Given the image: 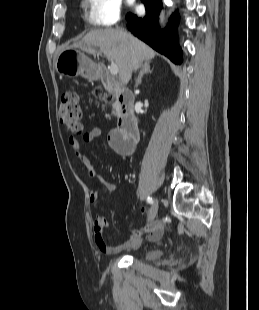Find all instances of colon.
I'll list each match as a JSON object with an SVG mask.
<instances>
[{"instance_id":"1","label":"colon","mask_w":259,"mask_h":310,"mask_svg":"<svg viewBox=\"0 0 259 310\" xmlns=\"http://www.w3.org/2000/svg\"><path fill=\"white\" fill-rule=\"evenodd\" d=\"M94 97L98 100H107L100 91L94 92ZM58 116L60 123L70 132L78 134L82 130V111L79 96L75 91H67L63 94L59 106Z\"/></svg>"}]
</instances>
